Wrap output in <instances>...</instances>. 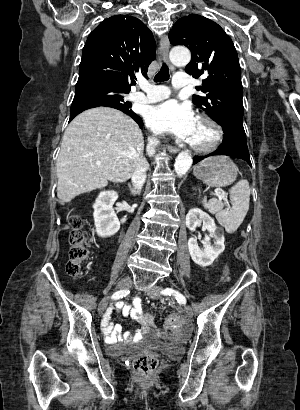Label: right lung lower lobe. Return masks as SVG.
<instances>
[{"instance_id":"right-lung-lower-lobe-1","label":"right lung lower lobe","mask_w":300,"mask_h":410,"mask_svg":"<svg viewBox=\"0 0 300 410\" xmlns=\"http://www.w3.org/2000/svg\"><path fill=\"white\" fill-rule=\"evenodd\" d=\"M97 106H108V107L116 108V109H118V110H120V111L126 113V114L129 115L130 117H132V118L139 124L140 127L143 126V122H142L141 118H140L137 114H135L132 110H128V109L122 108V107L110 106V105H97ZM97 106H88V107H84V108L78 109V110H76V111H74V112H70V119H69V121H71L76 115H78V114L81 113L82 111L87 110V109H90V108H93V107H97Z\"/></svg>"}]
</instances>
